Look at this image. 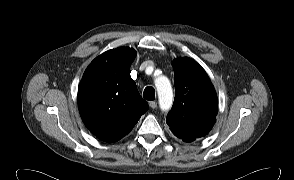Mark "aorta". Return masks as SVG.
Instances as JSON below:
<instances>
[{
	"instance_id": "1",
	"label": "aorta",
	"mask_w": 294,
	"mask_h": 180,
	"mask_svg": "<svg viewBox=\"0 0 294 180\" xmlns=\"http://www.w3.org/2000/svg\"><path fill=\"white\" fill-rule=\"evenodd\" d=\"M159 105L162 110H168L173 103V91L169 79L165 76H159L155 79Z\"/></svg>"
}]
</instances>
